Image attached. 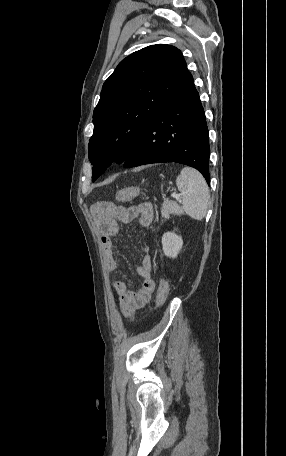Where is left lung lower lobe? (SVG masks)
Here are the masks:
<instances>
[{
    "mask_svg": "<svg viewBox=\"0 0 286 456\" xmlns=\"http://www.w3.org/2000/svg\"><path fill=\"white\" fill-rule=\"evenodd\" d=\"M204 109L188 73L139 136L125 167L176 162L196 168L210 183Z\"/></svg>",
    "mask_w": 286,
    "mask_h": 456,
    "instance_id": "1",
    "label": "left lung lower lobe"
}]
</instances>
